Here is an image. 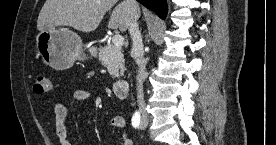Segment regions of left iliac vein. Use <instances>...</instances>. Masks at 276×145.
I'll list each match as a JSON object with an SVG mask.
<instances>
[{"label":"left iliac vein","mask_w":276,"mask_h":145,"mask_svg":"<svg viewBox=\"0 0 276 145\" xmlns=\"http://www.w3.org/2000/svg\"><path fill=\"white\" fill-rule=\"evenodd\" d=\"M148 124V117L144 115L140 124V129H145Z\"/></svg>","instance_id":"4c4485c4"}]
</instances>
